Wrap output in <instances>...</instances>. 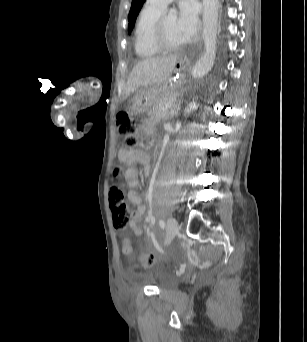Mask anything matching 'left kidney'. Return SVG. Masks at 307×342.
<instances>
[{
    "instance_id": "1",
    "label": "left kidney",
    "mask_w": 307,
    "mask_h": 342,
    "mask_svg": "<svg viewBox=\"0 0 307 342\" xmlns=\"http://www.w3.org/2000/svg\"><path fill=\"white\" fill-rule=\"evenodd\" d=\"M197 106L195 104V102H191V104H189L187 110H185V114H189V112H192V110H196Z\"/></svg>"
}]
</instances>
